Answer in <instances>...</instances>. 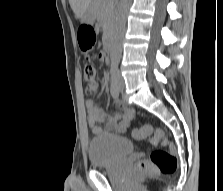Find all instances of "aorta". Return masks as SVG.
Wrapping results in <instances>:
<instances>
[{
  "instance_id": "762f6f07",
  "label": "aorta",
  "mask_w": 223,
  "mask_h": 191,
  "mask_svg": "<svg viewBox=\"0 0 223 191\" xmlns=\"http://www.w3.org/2000/svg\"><path fill=\"white\" fill-rule=\"evenodd\" d=\"M129 2L130 0H119L115 8L113 32L110 39V58L113 65H118L121 58Z\"/></svg>"
}]
</instances>
